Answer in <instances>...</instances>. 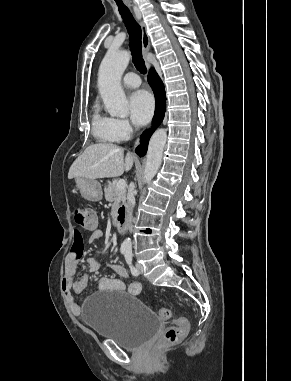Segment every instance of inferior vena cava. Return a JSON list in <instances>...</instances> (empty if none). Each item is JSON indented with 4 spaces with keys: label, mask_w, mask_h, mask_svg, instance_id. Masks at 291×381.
Segmentation results:
<instances>
[{
    "label": "inferior vena cava",
    "mask_w": 291,
    "mask_h": 381,
    "mask_svg": "<svg viewBox=\"0 0 291 381\" xmlns=\"http://www.w3.org/2000/svg\"><path fill=\"white\" fill-rule=\"evenodd\" d=\"M127 200H128V204H129L130 209H133L134 205H135V197H134V193L132 191H129V193L127 195ZM131 222H132V220H130V227H129L130 230L132 229Z\"/></svg>",
    "instance_id": "inferior-vena-cava-1"
}]
</instances>
